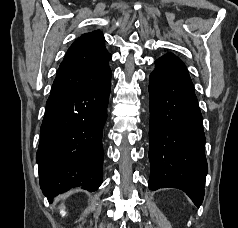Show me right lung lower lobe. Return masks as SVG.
Masks as SVG:
<instances>
[{
	"label": "right lung lower lobe",
	"mask_w": 238,
	"mask_h": 228,
	"mask_svg": "<svg viewBox=\"0 0 238 228\" xmlns=\"http://www.w3.org/2000/svg\"><path fill=\"white\" fill-rule=\"evenodd\" d=\"M112 72L88 86L53 93L46 103L36 155L40 186L52 197L82 186L94 191L102 183V131Z\"/></svg>",
	"instance_id": "obj_1"
}]
</instances>
